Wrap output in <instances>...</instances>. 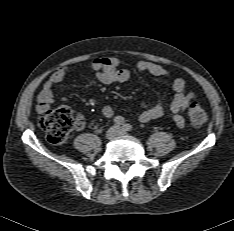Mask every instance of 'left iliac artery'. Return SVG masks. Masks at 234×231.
I'll use <instances>...</instances> for the list:
<instances>
[{"instance_id": "obj_1", "label": "left iliac artery", "mask_w": 234, "mask_h": 231, "mask_svg": "<svg viewBox=\"0 0 234 231\" xmlns=\"http://www.w3.org/2000/svg\"><path fill=\"white\" fill-rule=\"evenodd\" d=\"M122 129H123L124 131H131V130H132V126H131L130 124H124V125L122 126Z\"/></svg>"}]
</instances>
